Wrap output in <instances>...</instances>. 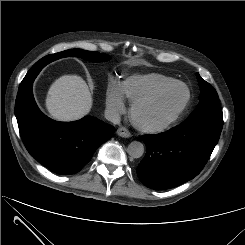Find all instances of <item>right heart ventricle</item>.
Masks as SVG:
<instances>
[{
    "label": "right heart ventricle",
    "instance_id": "obj_1",
    "mask_svg": "<svg viewBox=\"0 0 245 245\" xmlns=\"http://www.w3.org/2000/svg\"><path fill=\"white\" fill-rule=\"evenodd\" d=\"M175 81L173 78L158 74L133 75L125 78L121 83V91L124 97L133 103L138 98Z\"/></svg>",
    "mask_w": 245,
    "mask_h": 245
}]
</instances>
